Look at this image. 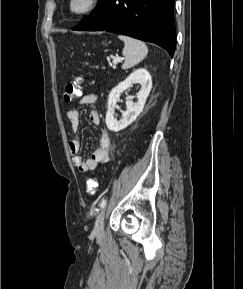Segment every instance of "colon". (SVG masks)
<instances>
[{
    "mask_svg": "<svg viewBox=\"0 0 243 289\" xmlns=\"http://www.w3.org/2000/svg\"><path fill=\"white\" fill-rule=\"evenodd\" d=\"M82 78H76L73 82L68 83L63 92V99L66 103H69L81 95ZM98 187L97 180L90 178L86 183V192L89 195H94Z\"/></svg>",
    "mask_w": 243,
    "mask_h": 289,
    "instance_id": "5ec220e1",
    "label": "colon"
}]
</instances>
